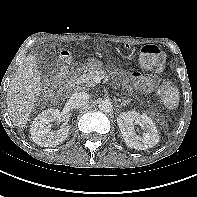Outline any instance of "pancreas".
<instances>
[{"label":"pancreas","instance_id":"cf45deb5","mask_svg":"<svg viewBox=\"0 0 197 197\" xmlns=\"http://www.w3.org/2000/svg\"><path fill=\"white\" fill-rule=\"evenodd\" d=\"M99 76L101 78H106L107 74L102 69H87L84 73L76 79L77 85H82L85 87L95 86L94 77Z\"/></svg>","mask_w":197,"mask_h":197}]
</instances>
